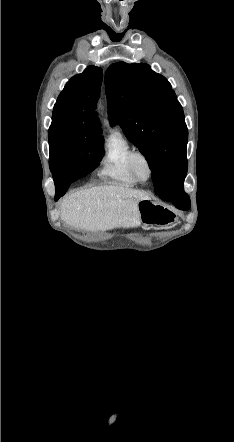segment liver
Here are the masks:
<instances>
[{
  "instance_id": "liver-1",
  "label": "liver",
  "mask_w": 234,
  "mask_h": 442,
  "mask_svg": "<svg viewBox=\"0 0 234 442\" xmlns=\"http://www.w3.org/2000/svg\"><path fill=\"white\" fill-rule=\"evenodd\" d=\"M149 197L122 185L82 189L61 204V219L85 231L134 228L141 224L138 202Z\"/></svg>"
}]
</instances>
